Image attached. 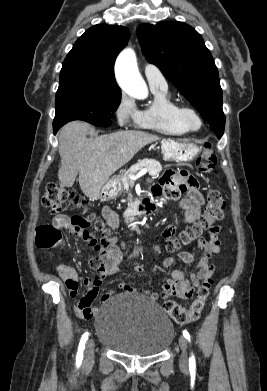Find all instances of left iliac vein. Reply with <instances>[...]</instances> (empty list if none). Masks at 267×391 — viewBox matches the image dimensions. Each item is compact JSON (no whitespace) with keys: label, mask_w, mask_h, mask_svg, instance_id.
Returning a JSON list of instances; mask_svg holds the SVG:
<instances>
[{"label":"left iliac vein","mask_w":267,"mask_h":391,"mask_svg":"<svg viewBox=\"0 0 267 391\" xmlns=\"http://www.w3.org/2000/svg\"><path fill=\"white\" fill-rule=\"evenodd\" d=\"M179 345L181 348V357L179 360L180 368L183 370H187L188 368V352H187V340L184 336L179 337Z\"/></svg>","instance_id":"1"}]
</instances>
